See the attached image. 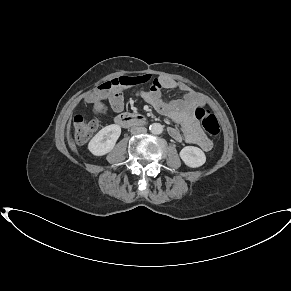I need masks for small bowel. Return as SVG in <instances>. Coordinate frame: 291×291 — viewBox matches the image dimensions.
Listing matches in <instances>:
<instances>
[{
    "mask_svg": "<svg viewBox=\"0 0 291 291\" xmlns=\"http://www.w3.org/2000/svg\"><path fill=\"white\" fill-rule=\"evenodd\" d=\"M142 77L146 80L150 78L148 75ZM163 89H178L184 91L185 95L180 99L167 101L162 98ZM138 94L150 103L158 113L171 118L180 126L181 131L169 128V134L174 140L197 145L204 151H209L212 148L211 140L203 134L193 116V111L197 107L203 106V100L186 84L170 77L158 76L154 79L149 90L140 91ZM85 101L93 105L95 112L102 111V101H108L114 112H121L125 106L121 88L114 89L105 95H100L97 91L90 92L86 95Z\"/></svg>",
    "mask_w": 291,
    "mask_h": 291,
    "instance_id": "small-bowel-1",
    "label": "small bowel"
}]
</instances>
